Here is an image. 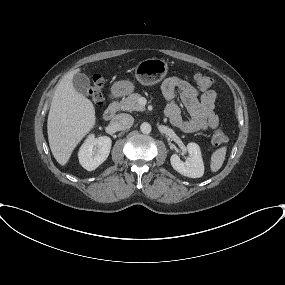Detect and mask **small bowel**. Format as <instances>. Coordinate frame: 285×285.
<instances>
[{
  "label": "small bowel",
  "instance_id": "c3829d8e",
  "mask_svg": "<svg viewBox=\"0 0 285 285\" xmlns=\"http://www.w3.org/2000/svg\"><path fill=\"white\" fill-rule=\"evenodd\" d=\"M162 94L167 100L165 114L170 122L185 132H196L215 129L219 118L214 113L217 94L214 90H205L201 94L186 80L172 76L161 86ZM179 92L182 104L190 114L189 120H184L181 109L175 101V93Z\"/></svg>",
  "mask_w": 285,
  "mask_h": 285
}]
</instances>
